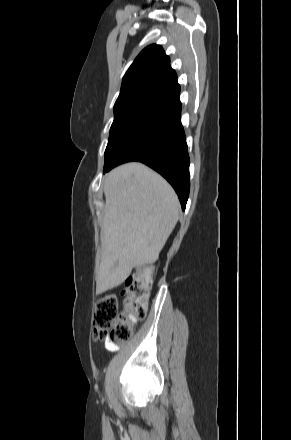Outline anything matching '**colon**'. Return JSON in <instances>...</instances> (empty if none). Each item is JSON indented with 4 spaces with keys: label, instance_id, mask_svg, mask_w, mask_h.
I'll return each mask as SVG.
<instances>
[{
    "label": "colon",
    "instance_id": "5ec220e1",
    "mask_svg": "<svg viewBox=\"0 0 291 440\" xmlns=\"http://www.w3.org/2000/svg\"><path fill=\"white\" fill-rule=\"evenodd\" d=\"M151 266L131 276L120 290L123 313L119 314L118 296L106 295L99 299L93 315V338L113 343H125L132 334L135 325L146 316V301L151 287ZM135 318L136 321H130Z\"/></svg>",
    "mask_w": 291,
    "mask_h": 440
}]
</instances>
